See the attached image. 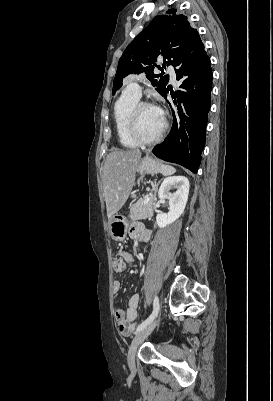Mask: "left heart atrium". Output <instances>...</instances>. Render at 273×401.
Instances as JSON below:
<instances>
[{
	"instance_id": "1",
	"label": "left heart atrium",
	"mask_w": 273,
	"mask_h": 401,
	"mask_svg": "<svg viewBox=\"0 0 273 401\" xmlns=\"http://www.w3.org/2000/svg\"><path fill=\"white\" fill-rule=\"evenodd\" d=\"M152 109L154 110L155 114L157 115V117L164 122V113L163 110L160 107L154 106L152 107Z\"/></svg>"
}]
</instances>
